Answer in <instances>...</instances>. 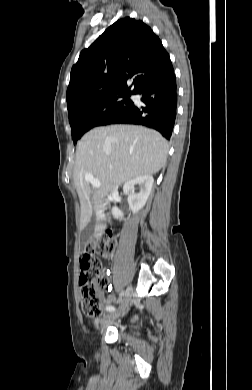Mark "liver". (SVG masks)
I'll use <instances>...</instances> for the list:
<instances>
[{
    "instance_id": "6515ba94",
    "label": "liver",
    "mask_w": 252,
    "mask_h": 390,
    "mask_svg": "<svg viewBox=\"0 0 252 390\" xmlns=\"http://www.w3.org/2000/svg\"><path fill=\"white\" fill-rule=\"evenodd\" d=\"M167 141L142 126L111 125L87 132L77 144L73 179L80 204V228L96 215L95 238L106 229L104 199L108 193L136 177L156 174L166 163ZM92 174L101 183L93 189L85 180Z\"/></svg>"
}]
</instances>
